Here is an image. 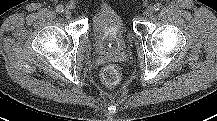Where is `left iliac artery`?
<instances>
[{"instance_id":"obj_1","label":"left iliac artery","mask_w":217,"mask_h":121,"mask_svg":"<svg viewBox=\"0 0 217 121\" xmlns=\"http://www.w3.org/2000/svg\"><path fill=\"white\" fill-rule=\"evenodd\" d=\"M161 7H162V5H161L160 3H156V4L154 5V10H155V11H159V10L161 9Z\"/></svg>"}]
</instances>
